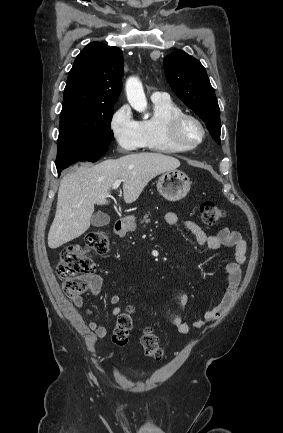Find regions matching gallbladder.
<instances>
[{
  "instance_id": "bac80fb5",
  "label": "gallbladder",
  "mask_w": 283,
  "mask_h": 433,
  "mask_svg": "<svg viewBox=\"0 0 283 433\" xmlns=\"http://www.w3.org/2000/svg\"><path fill=\"white\" fill-rule=\"evenodd\" d=\"M110 223V217L105 212H95L93 217H91V225L93 227H104V225H108Z\"/></svg>"
}]
</instances>
